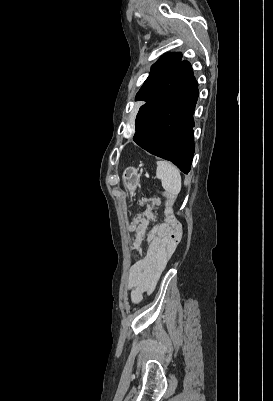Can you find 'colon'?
Wrapping results in <instances>:
<instances>
[{"mask_svg":"<svg viewBox=\"0 0 273 401\" xmlns=\"http://www.w3.org/2000/svg\"><path fill=\"white\" fill-rule=\"evenodd\" d=\"M150 203L155 208L159 201L157 199H151ZM179 231V223L177 220L171 216H167L164 222L155 228V235L160 241H176L181 239V234L177 233Z\"/></svg>","mask_w":273,"mask_h":401,"instance_id":"colon-1","label":"colon"}]
</instances>
